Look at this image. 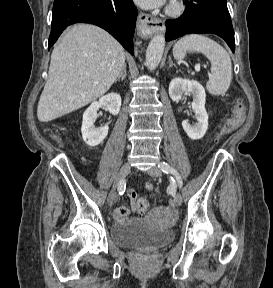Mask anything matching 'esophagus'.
I'll return each mask as SVG.
<instances>
[{
  "label": "esophagus",
  "instance_id": "1",
  "mask_svg": "<svg viewBox=\"0 0 273 288\" xmlns=\"http://www.w3.org/2000/svg\"><path fill=\"white\" fill-rule=\"evenodd\" d=\"M137 29L143 35H149L165 30V24L161 19L154 18L146 13H139L137 20Z\"/></svg>",
  "mask_w": 273,
  "mask_h": 288
}]
</instances>
